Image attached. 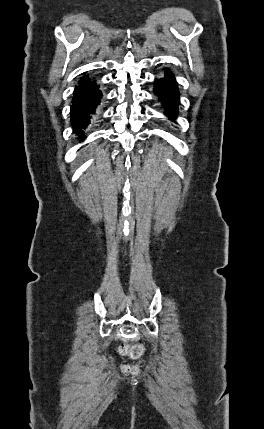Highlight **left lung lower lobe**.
<instances>
[{
  "label": "left lung lower lobe",
  "instance_id": "1",
  "mask_svg": "<svg viewBox=\"0 0 264 429\" xmlns=\"http://www.w3.org/2000/svg\"><path fill=\"white\" fill-rule=\"evenodd\" d=\"M154 92L165 109V114L170 118H175L179 105V91L174 75L169 69H165L164 78L156 79L154 82Z\"/></svg>",
  "mask_w": 264,
  "mask_h": 429
}]
</instances>
